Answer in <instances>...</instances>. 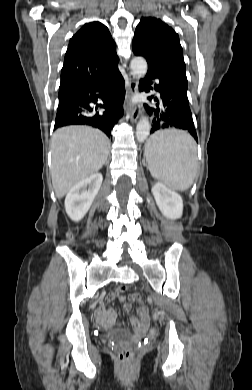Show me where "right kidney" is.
<instances>
[{"mask_svg": "<svg viewBox=\"0 0 252 390\" xmlns=\"http://www.w3.org/2000/svg\"><path fill=\"white\" fill-rule=\"evenodd\" d=\"M102 174L94 173L79 181L65 198V210L73 221H80L90 209L102 184Z\"/></svg>", "mask_w": 252, "mask_h": 390, "instance_id": "right-kidney-1", "label": "right kidney"}]
</instances>
